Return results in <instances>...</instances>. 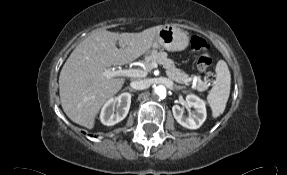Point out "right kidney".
<instances>
[{
	"instance_id": "ca27d5eb",
	"label": "right kidney",
	"mask_w": 287,
	"mask_h": 175,
	"mask_svg": "<svg viewBox=\"0 0 287 175\" xmlns=\"http://www.w3.org/2000/svg\"><path fill=\"white\" fill-rule=\"evenodd\" d=\"M131 104V94L122 93L110 98L103 106L100 120L104 125L112 126L122 121L128 114Z\"/></svg>"
}]
</instances>
